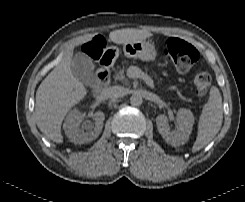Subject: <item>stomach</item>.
I'll use <instances>...</instances> for the list:
<instances>
[{"instance_id":"stomach-1","label":"stomach","mask_w":245,"mask_h":202,"mask_svg":"<svg viewBox=\"0 0 245 202\" xmlns=\"http://www.w3.org/2000/svg\"><path fill=\"white\" fill-rule=\"evenodd\" d=\"M110 49L114 52L115 56L118 55L119 50L117 47L113 46ZM123 50L128 58H139L147 62H154L157 56L154 44L146 40L126 43Z\"/></svg>"}]
</instances>
